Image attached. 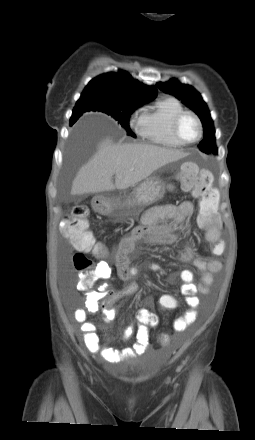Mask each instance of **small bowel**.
<instances>
[{
  "mask_svg": "<svg viewBox=\"0 0 255 440\" xmlns=\"http://www.w3.org/2000/svg\"><path fill=\"white\" fill-rule=\"evenodd\" d=\"M193 213L194 205L189 201L182 202L179 205L167 204L157 206L143 215L141 225L134 227L121 239L115 251V266L118 277L124 282L123 287L119 290L112 291L108 289V286L102 285V291H93L88 294L86 309L78 308L74 311L75 321L81 324L80 330L83 335V342L91 353H100L104 360L117 362L122 356L132 353H141L149 346V327L158 324V316L149 308H140L136 313L135 318L138 323L136 344L130 349L122 350L112 347H100L99 335L97 334L95 325L88 319L87 311L97 312L99 310L98 301L105 297L102 312L104 321L110 322L115 316L114 305L121 299L139 290V285L133 281L138 270L130 264L128 257L137 243L143 241L151 245L164 246L176 244L178 237L175 228L187 218L191 217ZM165 220H169L171 223L163 224L162 222ZM179 258L184 262L191 263L201 273V281L199 284L193 282L194 273L189 269H184L170 277L171 281L178 278L182 282L180 290L185 298L186 304L190 308L189 311L174 322L175 331L182 332L195 320V309L200 305L198 294H207L210 292L213 275L221 270V263L216 259H204L196 256L190 248L183 250ZM152 268L158 269L159 267L153 264ZM110 276V263L104 259L100 260L97 263V279L106 280L110 278ZM160 298L176 297L171 294H164L161 295ZM132 334L133 327L129 326L124 332V338L127 339Z\"/></svg>",
  "mask_w": 255,
  "mask_h": 440,
  "instance_id": "small-bowel-1",
  "label": "small bowel"
}]
</instances>
